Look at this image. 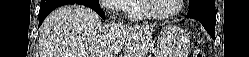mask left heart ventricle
I'll use <instances>...</instances> for the list:
<instances>
[{"label":"left heart ventricle","mask_w":249,"mask_h":57,"mask_svg":"<svg viewBox=\"0 0 249 57\" xmlns=\"http://www.w3.org/2000/svg\"><path fill=\"white\" fill-rule=\"evenodd\" d=\"M151 11L156 14H167L173 12L177 6V0H150Z\"/></svg>","instance_id":"1"}]
</instances>
